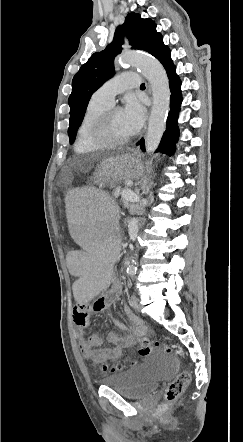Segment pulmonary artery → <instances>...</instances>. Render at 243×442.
Wrapping results in <instances>:
<instances>
[{"mask_svg":"<svg viewBox=\"0 0 243 442\" xmlns=\"http://www.w3.org/2000/svg\"><path fill=\"white\" fill-rule=\"evenodd\" d=\"M140 85L139 74L137 72H123L104 83L95 91L93 97L105 104L113 105L117 94L125 90L135 88Z\"/></svg>","mask_w":243,"mask_h":442,"instance_id":"1","label":"pulmonary artery"}]
</instances>
